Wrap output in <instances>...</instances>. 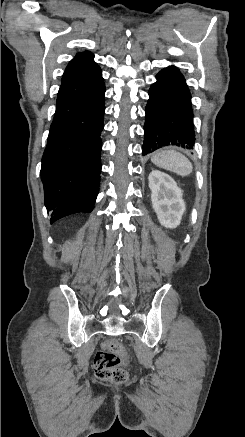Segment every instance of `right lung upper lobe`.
Masks as SVG:
<instances>
[{
	"instance_id": "obj_1",
	"label": "right lung upper lobe",
	"mask_w": 245,
	"mask_h": 437,
	"mask_svg": "<svg viewBox=\"0 0 245 437\" xmlns=\"http://www.w3.org/2000/svg\"><path fill=\"white\" fill-rule=\"evenodd\" d=\"M101 81V70L94 61V55L89 51L80 52L67 65L58 95L87 89Z\"/></svg>"
}]
</instances>
